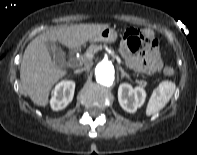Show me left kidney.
Masks as SVG:
<instances>
[{
	"label": "left kidney",
	"mask_w": 197,
	"mask_h": 155,
	"mask_svg": "<svg viewBox=\"0 0 197 155\" xmlns=\"http://www.w3.org/2000/svg\"><path fill=\"white\" fill-rule=\"evenodd\" d=\"M146 99V92L142 87L133 88L128 83H122L118 88V101L121 107L129 112H136L137 108L141 107Z\"/></svg>",
	"instance_id": "5707ae66"
}]
</instances>
